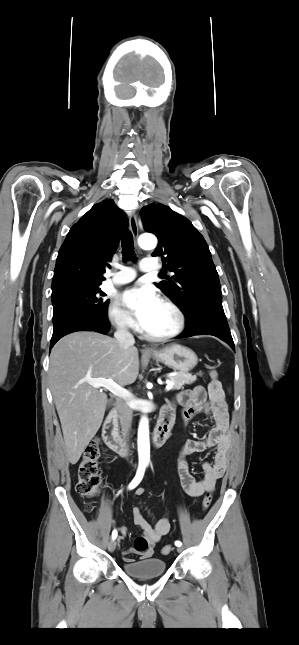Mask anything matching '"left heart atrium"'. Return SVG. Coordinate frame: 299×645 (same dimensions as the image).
<instances>
[{"instance_id": "1", "label": "left heart atrium", "mask_w": 299, "mask_h": 645, "mask_svg": "<svg viewBox=\"0 0 299 645\" xmlns=\"http://www.w3.org/2000/svg\"><path fill=\"white\" fill-rule=\"evenodd\" d=\"M122 303L129 307L139 325L144 328L161 304L156 292L148 286H135L126 290L121 297Z\"/></svg>"}]
</instances>
